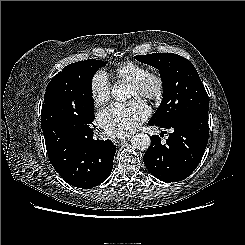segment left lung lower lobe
Returning a JSON list of instances; mask_svg holds the SVG:
<instances>
[{"mask_svg": "<svg viewBox=\"0 0 245 245\" xmlns=\"http://www.w3.org/2000/svg\"><path fill=\"white\" fill-rule=\"evenodd\" d=\"M150 126L173 128L166 144L158 135L151 137V145L144 154L149 172L164 182L186 179L200 163L207 146L209 127L208 111L191 112L176 122L160 125L149 121Z\"/></svg>", "mask_w": 245, "mask_h": 245, "instance_id": "obj_1", "label": "left lung lower lobe"}]
</instances>
